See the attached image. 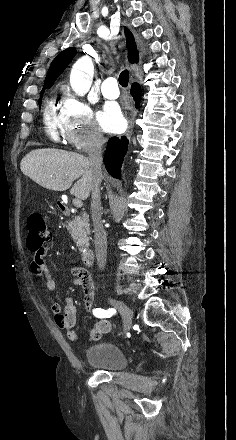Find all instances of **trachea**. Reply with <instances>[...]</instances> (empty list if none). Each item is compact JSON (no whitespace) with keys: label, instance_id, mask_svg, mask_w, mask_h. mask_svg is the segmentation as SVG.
<instances>
[{"label":"trachea","instance_id":"obj_1","mask_svg":"<svg viewBox=\"0 0 236 440\" xmlns=\"http://www.w3.org/2000/svg\"><path fill=\"white\" fill-rule=\"evenodd\" d=\"M129 82L128 70H123L119 75V83L122 87H127Z\"/></svg>","mask_w":236,"mask_h":440}]
</instances>
